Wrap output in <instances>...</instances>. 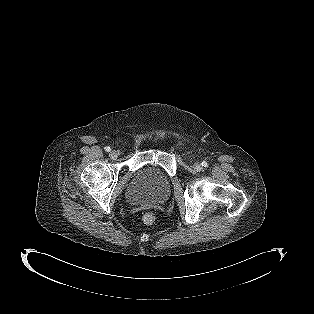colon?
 I'll return each instance as SVG.
<instances>
[{
	"instance_id": "obj_1",
	"label": "colon",
	"mask_w": 314,
	"mask_h": 314,
	"mask_svg": "<svg viewBox=\"0 0 314 314\" xmlns=\"http://www.w3.org/2000/svg\"><path fill=\"white\" fill-rule=\"evenodd\" d=\"M141 218L144 223L152 224L156 220V214L154 212H144Z\"/></svg>"
}]
</instances>
